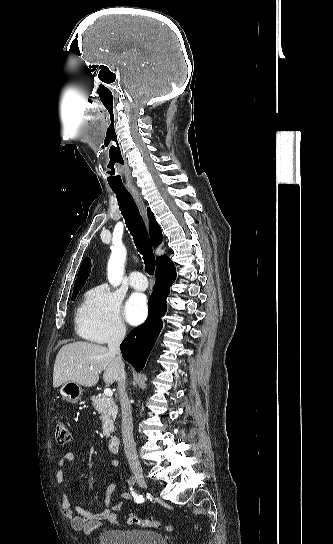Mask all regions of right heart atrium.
<instances>
[{"label": "right heart atrium", "mask_w": 333, "mask_h": 544, "mask_svg": "<svg viewBox=\"0 0 333 544\" xmlns=\"http://www.w3.org/2000/svg\"><path fill=\"white\" fill-rule=\"evenodd\" d=\"M81 335L96 343L121 341L127 332L120 297L106 286L92 289L77 317Z\"/></svg>", "instance_id": "obj_1"}]
</instances>
